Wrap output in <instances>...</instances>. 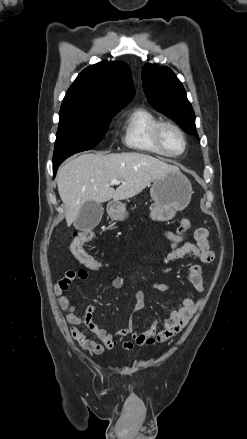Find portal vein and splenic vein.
Returning a JSON list of instances; mask_svg holds the SVG:
<instances>
[{
    "instance_id": "obj_1",
    "label": "portal vein and splenic vein",
    "mask_w": 247,
    "mask_h": 439,
    "mask_svg": "<svg viewBox=\"0 0 247 439\" xmlns=\"http://www.w3.org/2000/svg\"><path fill=\"white\" fill-rule=\"evenodd\" d=\"M120 183H122V181L118 180V179H112L111 180V185H119Z\"/></svg>"
}]
</instances>
